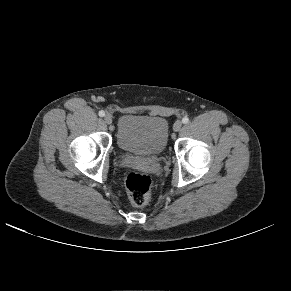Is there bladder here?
<instances>
[{
    "mask_svg": "<svg viewBox=\"0 0 291 291\" xmlns=\"http://www.w3.org/2000/svg\"><path fill=\"white\" fill-rule=\"evenodd\" d=\"M169 124L161 116L125 114L118 120L116 142L127 153L152 156L161 154L168 142Z\"/></svg>",
    "mask_w": 291,
    "mask_h": 291,
    "instance_id": "bladder-1",
    "label": "bladder"
}]
</instances>
